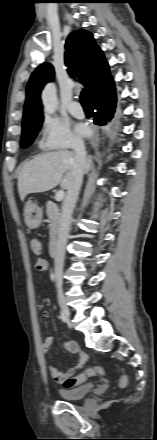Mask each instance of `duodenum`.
Wrapping results in <instances>:
<instances>
[{"label":"duodenum","mask_w":157,"mask_h":440,"mask_svg":"<svg viewBox=\"0 0 157 440\" xmlns=\"http://www.w3.org/2000/svg\"><path fill=\"white\" fill-rule=\"evenodd\" d=\"M49 253L53 259H56L58 257V248H57L56 240H52L50 242Z\"/></svg>","instance_id":"1"}]
</instances>
